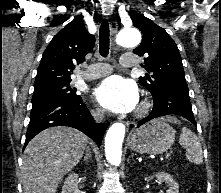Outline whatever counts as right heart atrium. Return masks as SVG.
Segmentation results:
<instances>
[{
  "label": "right heart atrium",
  "mask_w": 221,
  "mask_h": 193,
  "mask_svg": "<svg viewBox=\"0 0 221 193\" xmlns=\"http://www.w3.org/2000/svg\"><path fill=\"white\" fill-rule=\"evenodd\" d=\"M92 112H93L94 116L97 118H100L103 115V112L101 109H94Z\"/></svg>",
  "instance_id": "right-heart-atrium-1"
}]
</instances>
